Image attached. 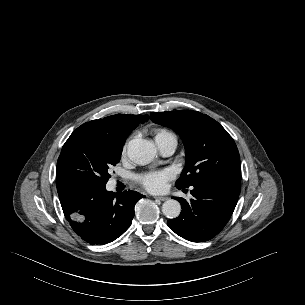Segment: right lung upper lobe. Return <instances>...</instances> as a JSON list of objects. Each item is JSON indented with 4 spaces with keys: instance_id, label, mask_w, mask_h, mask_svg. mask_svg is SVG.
I'll return each instance as SVG.
<instances>
[{
    "instance_id": "cb5924a9",
    "label": "right lung upper lobe",
    "mask_w": 305,
    "mask_h": 305,
    "mask_svg": "<svg viewBox=\"0 0 305 305\" xmlns=\"http://www.w3.org/2000/svg\"><path fill=\"white\" fill-rule=\"evenodd\" d=\"M148 119V115L117 114L84 123L77 129L103 136L112 143L123 146L132 130Z\"/></svg>"
}]
</instances>
